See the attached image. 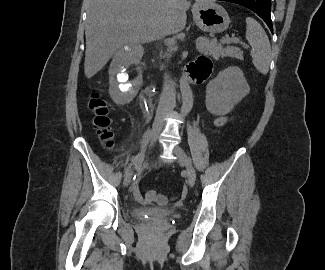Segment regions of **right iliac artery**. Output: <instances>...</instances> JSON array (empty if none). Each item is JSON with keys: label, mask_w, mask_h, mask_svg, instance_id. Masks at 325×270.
I'll return each instance as SVG.
<instances>
[{"label": "right iliac artery", "mask_w": 325, "mask_h": 270, "mask_svg": "<svg viewBox=\"0 0 325 270\" xmlns=\"http://www.w3.org/2000/svg\"><path fill=\"white\" fill-rule=\"evenodd\" d=\"M149 142V132H146L143 136V141H142V149L141 151L132 159V162L129 164V166L125 169V175L128 174L130 168L132 167L133 164H136L141 158L144 157V152L146 150V147Z\"/></svg>", "instance_id": "right-iliac-artery-1"}]
</instances>
